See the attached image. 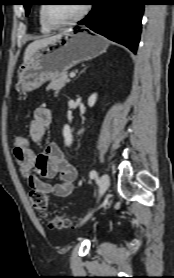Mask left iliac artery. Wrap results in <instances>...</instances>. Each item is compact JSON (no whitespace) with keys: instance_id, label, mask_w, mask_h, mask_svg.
<instances>
[{"instance_id":"left-iliac-artery-1","label":"left iliac artery","mask_w":174,"mask_h":278,"mask_svg":"<svg viewBox=\"0 0 174 278\" xmlns=\"http://www.w3.org/2000/svg\"><path fill=\"white\" fill-rule=\"evenodd\" d=\"M90 178L91 179H95V178H97V176H98V173H97V171H95V170H92L91 172H90Z\"/></svg>"}]
</instances>
